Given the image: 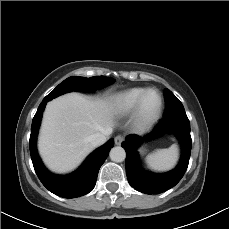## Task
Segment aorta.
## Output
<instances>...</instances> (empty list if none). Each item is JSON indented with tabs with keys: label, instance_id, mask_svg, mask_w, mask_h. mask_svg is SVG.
<instances>
[{
	"label": "aorta",
	"instance_id": "1",
	"mask_svg": "<svg viewBox=\"0 0 229 229\" xmlns=\"http://www.w3.org/2000/svg\"><path fill=\"white\" fill-rule=\"evenodd\" d=\"M125 157V150L120 146L113 147L110 151V159L114 162H123Z\"/></svg>",
	"mask_w": 229,
	"mask_h": 229
}]
</instances>
